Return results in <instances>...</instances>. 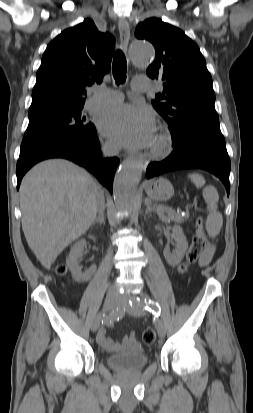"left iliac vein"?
<instances>
[{
    "label": "left iliac vein",
    "instance_id": "obj_1",
    "mask_svg": "<svg viewBox=\"0 0 253 413\" xmlns=\"http://www.w3.org/2000/svg\"><path fill=\"white\" fill-rule=\"evenodd\" d=\"M136 298V297H133ZM130 298L123 294L119 297V304L124 307L129 314L135 317H140L144 314L143 307H134L129 304ZM157 333L160 338H163L166 334V327L162 320L158 321L157 324Z\"/></svg>",
    "mask_w": 253,
    "mask_h": 413
}]
</instances>
